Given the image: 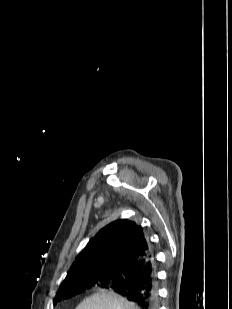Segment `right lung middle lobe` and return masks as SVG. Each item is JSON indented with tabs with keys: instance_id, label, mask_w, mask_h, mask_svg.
Here are the masks:
<instances>
[{
	"instance_id": "1",
	"label": "right lung middle lobe",
	"mask_w": 232,
	"mask_h": 309,
	"mask_svg": "<svg viewBox=\"0 0 232 309\" xmlns=\"http://www.w3.org/2000/svg\"><path fill=\"white\" fill-rule=\"evenodd\" d=\"M127 281L124 274L114 271H88L76 274L71 279L64 281L58 290L54 304L62 299L71 298L86 289L95 286L109 287L111 285H119Z\"/></svg>"
}]
</instances>
